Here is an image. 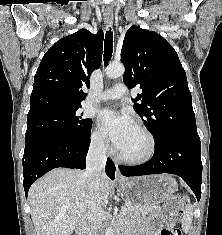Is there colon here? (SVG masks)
Here are the masks:
<instances>
[{
  "label": "colon",
  "instance_id": "colon-1",
  "mask_svg": "<svg viewBox=\"0 0 222 235\" xmlns=\"http://www.w3.org/2000/svg\"><path fill=\"white\" fill-rule=\"evenodd\" d=\"M182 214V199L178 196L168 199L163 207V219L166 227L161 231V235H181V232L174 228V223Z\"/></svg>",
  "mask_w": 222,
  "mask_h": 235
}]
</instances>
